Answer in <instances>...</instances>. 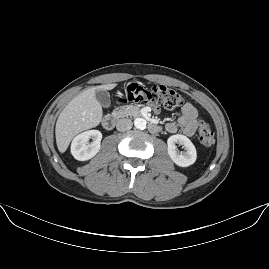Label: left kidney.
<instances>
[{"mask_svg":"<svg viewBox=\"0 0 269 269\" xmlns=\"http://www.w3.org/2000/svg\"><path fill=\"white\" fill-rule=\"evenodd\" d=\"M177 143L183 145L186 151L179 153L176 147ZM167 145L170 158L178 166L187 167L196 161V148L188 137L181 134L172 135L168 138Z\"/></svg>","mask_w":269,"mask_h":269,"instance_id":"1","label":"left kidney"}]
</instances>
